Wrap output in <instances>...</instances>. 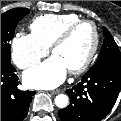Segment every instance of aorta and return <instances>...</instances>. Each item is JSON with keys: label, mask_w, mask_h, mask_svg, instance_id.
<instances>
[{"label": "aorta", "mask_w": 121, "mask_h": 121, "mask_svg": "<svg viewBox=\"0 0 121 121\" xmlns=\"http://www.w3.org/2000/svg\"><path fill=\"white\" fill-rule=\"evenodd\" d=\"M69 99L65 94H59L55 98V104L59 108H65L68 105Z\"/></svg>", "instance_id": "1"}]
</instances>
